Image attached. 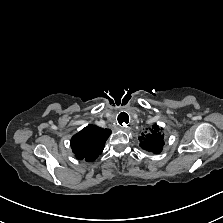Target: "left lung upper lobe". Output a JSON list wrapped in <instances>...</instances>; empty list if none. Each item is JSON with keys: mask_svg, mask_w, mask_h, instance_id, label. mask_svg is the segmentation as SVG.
I'll list each match as a JSON object with an SVG mask.
<instances>
[{"mask_svg": "<svg viewBox=\"0 0 223 223\" xmlns=\"http://www.w3.org/2000/svg\"><path fill=\"white\" fill-rule=\"evenodd\" d=\"M163 138L164 134H162L160 127L153 125L139 137L140 147L154 154H159L164 146Z\"/></svg>", "mask_w": 223, "mask_h": 223, "instance_id": "5c2ea615", "label": "left lung upper lobe"}]
</instances>
